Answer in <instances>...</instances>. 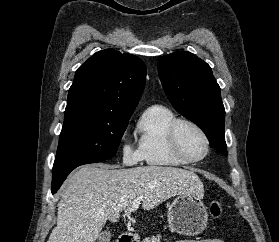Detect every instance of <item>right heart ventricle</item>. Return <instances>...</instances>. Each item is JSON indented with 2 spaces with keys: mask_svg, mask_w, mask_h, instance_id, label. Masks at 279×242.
Segmentation results:
<instances>
[{
  "mask_svg": "<svg viewBox=\"0 0 279 242\" xmlns=\"http://www.w3.org/2000/svg\"><path fill=\"white\" fill-rule=\"evenodd\" d=\"M175 114L161 105L148 107L138 122V149L150 166L177 167L186 163L177 158L168 143V129Z\"/></svg>",
  "mask_w": 279,
  "mask_h": 242,
  "instance_id": "right-heart-ventricle-1",
  "label": "right heart ventricle"
}]
</instances>
